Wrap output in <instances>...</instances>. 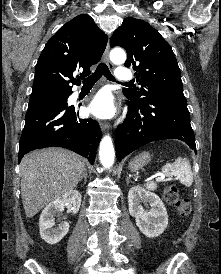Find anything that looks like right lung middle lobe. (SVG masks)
I'll return each mask as SVG.
<instances>
[{
    "mask_svg": "<svg viewBox=\"0 0 221 274\" xmlns=\"http://www.w3.org/2000/svg\"><path fill=\"white\" fill-rule=\"evenodd\" d=\"M68 96H69V94H65V95H57V96H53V97H48V98H44V99L30 100L29 107L65 100L68 98Z\"/></svg>",
    "mask_w": 221,
    "mask_h": 274,
    "instance_id": "right-lung-middle-lobe-1",
    "label": "right lung middle lobe"
}]
</instances>
